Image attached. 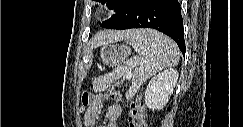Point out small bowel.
Masks as SVG:
<instances>
[{"mask_svg":"<svg viewBox=\"0 0 243 127\" xmlns=\"http://www.w3.org/2000/svg\"><path fill=\"white\" fill-rule=\"evenodd\" d=\"M106 106L105 98L92 102L84 115V125L86 127H92L95 125L99 115ZM122 113V108L119 103H111L107 105L106 109V119L104 126L105 127H116L118 119Z\"/></svg>","mask_w":243,"mask_h":127,"instance_id":"small-bowel-1","label":"small bowel"}]
</instances>
